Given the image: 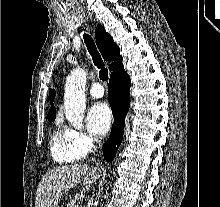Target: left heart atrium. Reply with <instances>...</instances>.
<instances>
[{
    "instance_id": "obj_1",
    "label": "left heart atrium",
    "mask_w": 220,
    "mask_h": 207,
    "mask_svg": "<svg viewBox=\"0 0 220 207\" xmlns=\"http://www.w3.org/2000/svg\"><path fill=\"white\" fill-rule=\"evenodd\" d=\"M112 112L104 102L96 103L90 109L87 116V125L90 133L94 136H103L110 129Z\"/></svg>"
}]
</instances>
